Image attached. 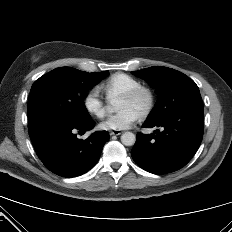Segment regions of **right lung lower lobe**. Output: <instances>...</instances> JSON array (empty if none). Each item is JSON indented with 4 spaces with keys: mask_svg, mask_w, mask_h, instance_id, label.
Wrapping results in <instances>:
<instances>
[{
    "mask_svg": "<svg viewBox=\"0 0 232 232\" xmlns=\"http://www.w3.org/2000/svg\"><path fill=\"white\" fill-rule=\"evenodd\" d=\"M92 119L71 121L52 116L29 119V136L37 155L53 173L75 177L89 171L100 158L109 139L107 131L91 134L86 140L78 139L75 132L92 129Z\"/></svg>",
    "mask_w": 232,
    "mask_h": 232,
    "instance_id": "1",
    "label": "right lung lower lobe"
}]
</instances>
